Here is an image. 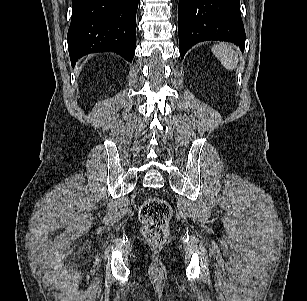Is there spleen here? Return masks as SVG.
<instances>
[{
    "label": "spleen",
    "instance_id": "3e777b00",
    "mask_svg": "<svg viewBox=\"0 0 307 301\" xmlns=\"http://www.w3.org/2000/svg\"><path fill=\"white\" fill-rule=\"evenodd\" d=\"M211 50L226 69L233 70L237 66V53L229 45L217 44Z\"/></svg>",
    "mask_w": 307,
    "mask_h": 301
}]
</instances>
